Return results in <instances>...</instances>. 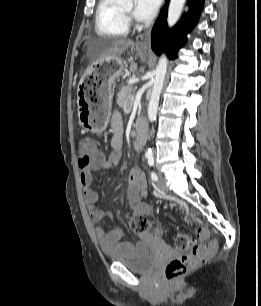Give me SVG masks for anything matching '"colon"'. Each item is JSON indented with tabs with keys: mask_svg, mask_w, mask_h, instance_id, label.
<instances>
[{
	"mask_svg": "<svg viewBox=\"0 0 261 306\" xmlns=\"http://www.w3.org/2000/svg\"><path fill=\"white\" fill-rule=\"evenodd\" d=\"M103 160L101 150L91 144L90 139L82 138L78 143V164L81 168H87L98 164ZM131 230L135 233H143L149 230L158 231L143 214H136L128 219ZM200 237H207L208 230L200 228ZM175 247L184 251L183 254L171 259L164 268L166 281L171 282L186 274L188 271L205 263L215 248L217 242L211 240L204 244H195V240L189 233H180L175 238Z\"/></svg>",
	"mask_w": 261,
	"mask_h": 306,
	"instance_id": "colon-1",
	"label": "colon"
}]
</instances>
